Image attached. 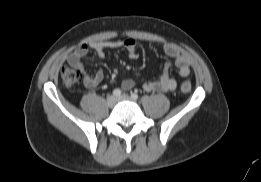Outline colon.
Here are the masks:
<instances>
[{
  "label": "colon",
  "instance_id": "colon-1",
  "mask_svg": "<svg viewBox=\"0 0 261 182\" xmlns=\"http://www.w3.org/2000/svg\"><path fill=\"white\" fill-rule=\"evenodd\" d=\"M79 71L71 69L69 67H64L61 70V80L65 87H73L79 80ZM180 90L182 93L187 94L191 90V84L189 81H185L181 84Z\"/></svg>",
  "mask_w": 261,
  "mask_h": 182
}]
</instances>
